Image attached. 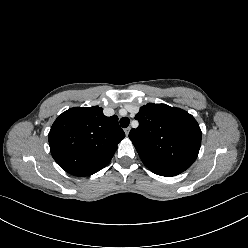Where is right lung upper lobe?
<instances>
[{
  "label": "right lung upper lobe",
  "mask_w": 248,
  "mask_h": 248,
  "mask_svg": "<svg viewBox=\"0 0 248 248\" xmlns=\"http://www.w3.org/2000/svg\"><path fill=\"white\" fill-rule=\"evenodd\" d=\"M51 154L74 176H89L104 168L125 137L118 117H107L98 106L71 108L55 120L49 132Z\"/></svg>",
  "instance_id": "cb5924a9"
}]
</instances>
